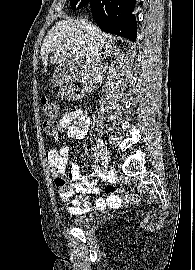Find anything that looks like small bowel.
Instances as JSON below:
<instances>
[{
    "label": "small bowel",
    "instance_id": "small-bowel-1",
    "mask_svg": "<svg viewBox=\"0 0 195 270\" xmlns=\"http://www.w3.org/2000/svg\"><path fill=\"white\" fill-rule=\"evenodd\" d=\"M89 119L85 111L75 109L66 112L58 121V128H67L68 136L76 140H83L88 133ZM69 149L65 145H58L57 148L50 149L46 158L48 161L50 172L54 177V182L58 187V194L62 201L68 202L70 197L75 193L80 194V199H74L67 206V210L71 214H82L90 209V201L88 194H97L98 189L80 172V166L74 162L67 169ZM65 178L73 181L66 184ZM106 199L100 198L96 201L97 206H108L118 208L123 201V194L114 186L106 185Z\"/></svg>",
    "mask_w": 195,
    "mask_h": 270
}]
</instances>
